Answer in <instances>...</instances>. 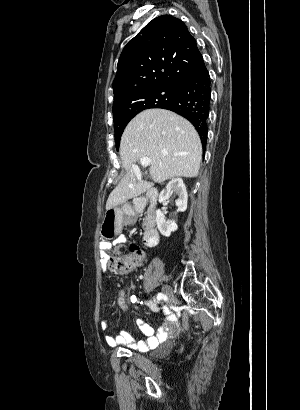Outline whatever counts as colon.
<instances>
[{
	"label": "colon",
	"mask_w": 300,
	"mask_h": 410,
	"mask_svg": "<svg viewBox=\"0 0 300 410\" xmlns=\"http://www.w3.org/2000/svg\"><path fill=\"white\" fill-rule=\"evenodd\" d=\"M103 264L114 273L124 274L143 265L146 261L145 252L136 244L130 247L128 254L106 255L102 259Z\"/></svg>",
	"instance_id": "colon-1"
}]
</instances>
